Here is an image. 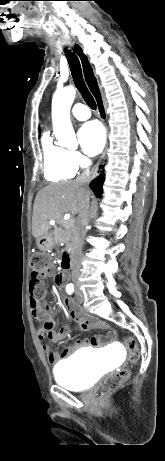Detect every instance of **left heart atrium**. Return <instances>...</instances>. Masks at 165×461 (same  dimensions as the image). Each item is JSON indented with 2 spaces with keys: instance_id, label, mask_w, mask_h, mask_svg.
Masks as SVG:
<instances>
[{
  "instance_id": "obj_1",
  "label": "left heart atrium",
  "mask_w": 165,
  "mask_h": 461,
  "mask_svg": "<svg viewBox=\"0 0 165 461\" xmlns=\"http://www.w3.org/2000/svg\"><path fill=\"white\" fill-rule=\"evenodd\" d=\"M78 136L81 148L87 155L95 156L104 148L106 136L98 122L91 121L83 124Z\"/></svg>"
}]
</instances>
